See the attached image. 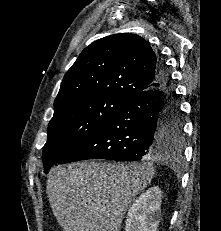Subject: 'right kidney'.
I'll return each mask as SVG.
<instances>
[{"mask_svg":"<svg viewBox=\"0 0 221 231\" xmlns=\"http://www.w3.org/2000/svg\"><path fill=\"white\" fill-rule=\"evenodd\" d=\"M162 191L153 186L143 192L127 213L125 231H156L161 219Z\"/></svg>","mask_w":221,"mask_h":231,"instance_id":"1","label":"right kidney"}]
</instances>
